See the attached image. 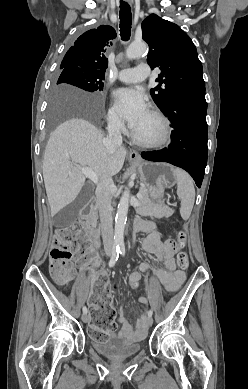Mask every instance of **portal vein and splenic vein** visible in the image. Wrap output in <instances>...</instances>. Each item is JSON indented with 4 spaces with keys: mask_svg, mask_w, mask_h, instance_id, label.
Returning a JSON list of instances; mask_svg holds the SVG:
<instances>
[{
    "mask_svg": "<svg viewBox=\"0 0 248 389\" xmlns=\"http://www.w3.org/2000/svg\"><path fill=\"white\" fill-rule=\"evenodd\" d=\"M77 169H79L86 177H88L90 180H92L94 183L98 182V176L97 174L89 167H83V166H76ZM138 198H141V193L137 194Z\"/></svg>",
    "mask_w": 248,
    "mask_h": 389,
    "instance_id": "portal-vein-and-splenic-vein-1",
    "label": "portal vein and splenic vein"
}]
</instances>
